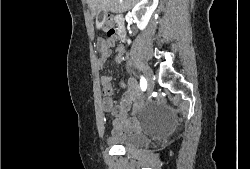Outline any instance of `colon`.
I'll use <instances>...</instances> for the list:
<instances>
[{
  "instance_id": "1",
  "label": "colon",
  "mask_w": 250,
  "mask_h": 169,
  "mask_svg": "<svg viewBox=\"0 0 250 169\" xmlns=\"http://www.w3.org/2000/svg\"><path fill=\"white\" fill-rule=\"evenodd\" d=\"M97 29L105 32L108 37H112L116 33L115 27L112 25H108V24L107 25H98Z\"/></svg>"
}]
</instances>
